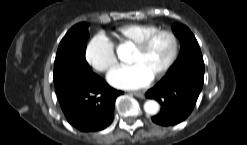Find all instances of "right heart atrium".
<instances>
[{
    "label": "right heart atrium",
    "mask_w": 247,
    "mask_h": 145,
    "mask_svg": "<svg viewBox=\"0 0 247 145\" xmlns=\"http://www.w3.org/2000/svg\"><path fill=\"white\" fill-rule=\"evenodd\" d=\"M87 62L99 72L110 71L117 63L113 44L102 33L93 36L85 50Z\"/></svg>",
    "instance_id": "right-heart-atrium-1"
}]
</instances>
